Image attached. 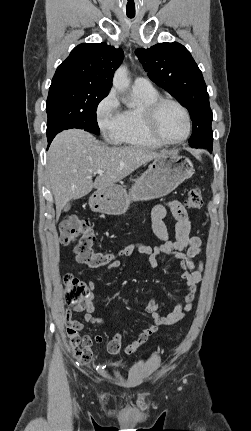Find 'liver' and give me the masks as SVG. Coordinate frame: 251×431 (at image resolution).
Instances as JSON below:
<instances>
[{
    "mask_svg": "<svg viewBox=\"0 0 251 431\" xmlns=\"http://www.w3.org/2000/svg\"><path fill=\"white\" fill-rule=\"evenodd\" d=\"M167 153L137 146L108 147L80 129L59 133L50 145L46 165L56 221L69 201L86 196L93 188L103 190L115 185L145 163ZM98 169L104 172L93 182L92 174Z\"/></svg>",
    "mask_w": 251,
    "mask_h": 431,
    "instance_id": "obj_1",
    "label": "liver"
}]
</instances>
